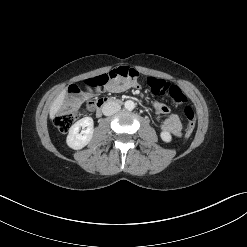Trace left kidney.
I'll return each instance as SVG.
<instances>
[{
	"instance_id": "5707ae66",
	"label": "left kidney",
	"mask_w": 247,
	"mask_h": 247,
	"mask_svg": "<svg viewBox=\"0 0 247 247\" xmlns=\"http://www.w3.org/2000/svg\"><path fill=\"white\" fill-rule=\"evenodd\" d=\"M160 137L166 143H169L172 140V136L168 131H162Z\"/></svg>"
}]
</instances>
